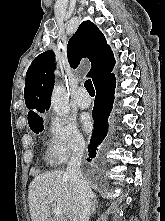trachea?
I'll return each instance as SVG.
<instances>
[{
    "mask_svg": "<svg viewBox=\"0 0 165 221\" xmlns=\"http://www.w3.org/2000/svg\"><path fill=\"white\" fill-rule=\"evenodd\" d=\"M84 86L90 95H95V90L90 79L85 81Z\"/></svg>",
    "mask_w": 165,
    "mask_h": 221,
    "instance_id": "obj_1",
    "label": "trachea"
}]
</instances>
